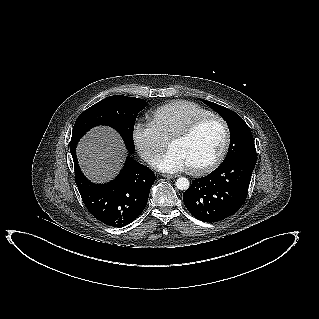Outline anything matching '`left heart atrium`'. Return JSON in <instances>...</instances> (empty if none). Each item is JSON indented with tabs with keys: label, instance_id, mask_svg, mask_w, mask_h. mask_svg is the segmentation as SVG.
Segmentation results:
<instances>
[{
	"label": "left heart atrium",
	"instance_id": "obj_1",
	"mask_svg": "<svg viewBox=\"0 0 319 319\" xmlns=\"http://www.w3.org/2000/svg\"><path fill=\"white\" fill-rule=\"evenodd\" d=\"M153 166L164 172H179L188 168L184 158L171 148L157 157L153 162Z\"/></svg>",
	"mask_w": 319,
	"mask_h": 319
}]
</instances>
